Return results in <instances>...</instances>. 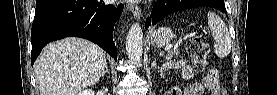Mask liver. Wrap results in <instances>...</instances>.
Instances as JSON below:
<instances>
[{
	"mask_svg": "<svg viewBox=\"0 0 277 95\" xmlns=\"http://www.w3.org/2000/svg\"><path fill=\"white\" fill-rule=\"evenodd\" d=\"M107 66L104 50L80 39L45 46L34 64L40 95H77L98 82Z\"/></svg>",
	"mask_w": 277,
	"mask_h": 95,
	"instance_id": "6515ba94",
	"label": "liver"
}]
</instances>
